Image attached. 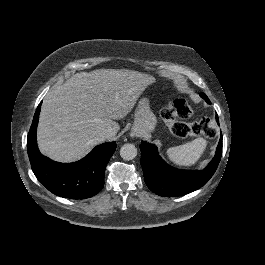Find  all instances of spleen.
Instances as JSON below:
<instances>
[{"label":"spleen","mask_w":265,"mask_h":265,"mask_svg":"<svg viewBox=\"0 0 265 265\" xmlns=\"http://www.w3.org/2000/svg\"><path fill=\"white\" fill-rule=\"evenodd\" d=\"M208 146L206 139L200 137L191 143L179 147L168 148L165 154L170 163L179 167H193L204 155Z\"/></svg>","instance_id":"3e777b00"}]
</instances>
